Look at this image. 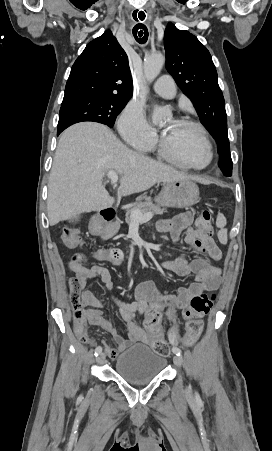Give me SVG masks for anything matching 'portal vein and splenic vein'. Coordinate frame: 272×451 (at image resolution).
<instances>
[{
  "label": "portal vein and splenic vein",
  "instance_id": "obj_1",
  "mask_svg": "<svg viewBox=\"0 0 272 451\" xmlns=\"http://www.w3.org/2000/svg\"><path fill=\"white\" fill-rule=\"evenodd\" d=\"M107 178H110L111 184H116L118 182V176L114 170H109L107 172ZM132 224H143V222H149L153 218V212H147V214H142L140 210H133L131 212Z\"/></svg>",
  "mask_w": 272,
  "mask_h": 451
}]
</instances>
